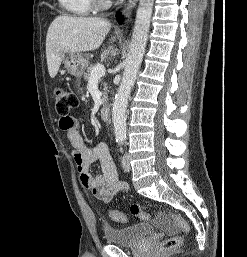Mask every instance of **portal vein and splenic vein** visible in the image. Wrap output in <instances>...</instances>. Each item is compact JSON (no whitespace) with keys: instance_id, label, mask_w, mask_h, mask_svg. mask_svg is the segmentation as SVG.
Wrapping results in <instances>:
<instances>
[{"instance_id":"obj_1","label":"portal vein and splenic vein","mask_w":247,"mask_h":257,"mask_svg":"<svg viewBox=\"0 0 247 257\" xmlns=\"http://www.w3.org/2000/svg\"><path fill=\"white\" fill-rule=\"evenodd\" d=\"M105 75V67L104 65L97 64L90 75L89 81L99 80L101 77Z\"/></svg>"}]
</instances>
